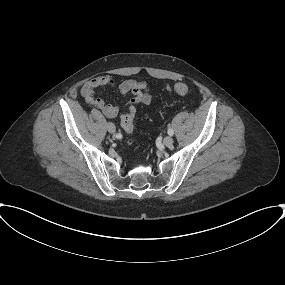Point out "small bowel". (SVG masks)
<instances>
[{
	"mask_svg": "<svg viewBox=\"0 0 285 285\" xmlns=\"http://www.w3.org/2000/svg\"><path fill=\"white\" fill-rule=\"evenodd\" d=\"M101 87H116L122 95H132V98L126 106L137 104L147 105L152 99L149 86L145 81L128 79L116 84V82L107 75L92 78L83 84L81 95L87 104L95 106L108 118L117 117L120 112V107L109 104L100 97H96L95 91Z\"/></svg>",
	"mask_w": 285,
	"mask_h": 285,
	"instance_id": "small-bowel-1",
	"label": "small bowel"
}]
</instances>
